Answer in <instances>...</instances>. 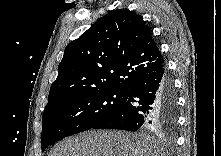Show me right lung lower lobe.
I'll return each instance as SVG.
<instances>
[{
    "label": "right lung lower lobe",
    "instance_id": "right-lung-lower-lobe-1",
    "mask_svg": "<svg viewBox=\"0 0 221 156\" xmlns=\"http://www.w3.org/2000/svg\"><path fill=\"white\" fill-rule=\"evenodd\" d=\"M177 122V96L165 65L138 81L128 90L125 103L93 129L166 127L174 130Z\"/></svg>",
    "mask_w": 221,
    "mask_h": 156
}]
</instances>
